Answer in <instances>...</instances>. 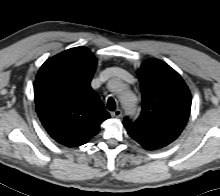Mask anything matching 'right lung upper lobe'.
Segmentation results:
<instances>
[{
  "mask_svg": "<svg viewBox=\"0 0 220 196\" xmlns=\"http://www.w3.org/2000/svg\"><path fill=\"white\" fill-rule=\"evenodd\" d=\"M96 59L89 49L76 47L49 58L34 84L38 116L58 143L81 146L99 132L110 117L90 87Z\"/></svg>",
  "mask_w": 220,
  "mask_h": 196,
  "instance_id": "right-lung-upper-lobe-1",
  "label": "right lung upper lobe"
}]
</instances>
